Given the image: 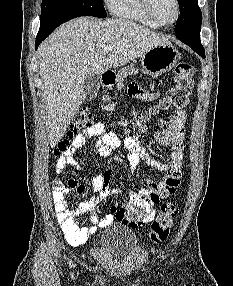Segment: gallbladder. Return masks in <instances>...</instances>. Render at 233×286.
Here are the masks:
<instances>
[{"mask_svg": "<svg viewBox=\"0 0 233 286\" xmlns=\"http://www.w3.org/2000/svg\"><path fill=\"white\" fill-rule=\"evenodd\" d=\"M85 92V99L92 101L97 96L100 88V76L95 74H89L83 85Z\"/></svg>", "mask_w": 233, "mask_h": 286, "instance_id": "gallbladder-1", "label": "gallbladder"}]
</instances>
